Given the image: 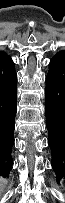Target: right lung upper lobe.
I'll return each instance as SVG.
<instances>
[{
  "mask_svg": "<svg viewBox=\"0 0 65 203\" xmlns=\"http://www.w3.org/2000/svg\"><path fill=\"white\" fill-rule=\"evenodd\" d=\"M14 65V62L5 53L0 52V67L8 68Z\"/></svg>",
  "mask_w": 65,
  "mask_h": 203,
  "instance_id": "cb5924a9",
  "label": "right lung upper lobe"
}]
</instances>
